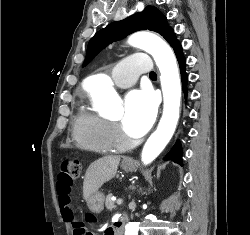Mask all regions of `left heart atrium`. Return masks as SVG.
<instances>
[{
    "label": "left heart atrium",
    "mask_w": 250,
    "mask_h": 235,
    "mask_svg": "<svg viewBox=\"0 0 250 235\" xmlns=\"http://www.w3.org/2000/svg\"><path fill=\"white\" fill-rule=\"evenodd\" d=\"M123 128L132 137H141L152 126L156 116V100L147 89L129 92L124 103Z\"/></svg>",
    "instance_id": "obj_1"
}]
</instances>
